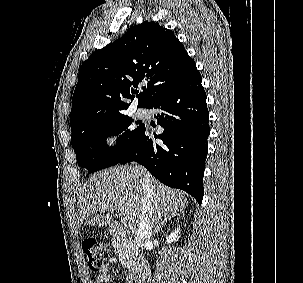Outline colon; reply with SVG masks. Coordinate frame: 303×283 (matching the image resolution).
Listing matches in <instances>:
<instances>
[{"instance_id":"obj_1","label":"colon","mask_w":303,"mask_h":283,"mask_svg":"<svg viewBox=\"0 0 303 283\" xmlns=\"http://www.w3.org/2000/svg\"><path fill=\"white\" fill-rule=\"evenodd\" d=\"M82 248L92 271H100L111 255V246L103 241L88 240L83 243Z\"/></svg>"}]
</instances>
